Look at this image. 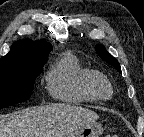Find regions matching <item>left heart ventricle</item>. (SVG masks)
Here are the masks:
<instances>
[{"mask_svg": "<svg viewBox=\"0 0 144 137\" xmlns=\"http://www.w3.org/2000/svg\"><path fill=\"white\" fill-rule=\"evenodd\" d=\"M101 92H102L103 95H109V93H110L108 87H106V86L102 87Z\"/></svg>", "mask_w": 144, "mask_h": 137, "instance_id": "b2bd125f", "label": "left heart ventricle"}]
</instances>
